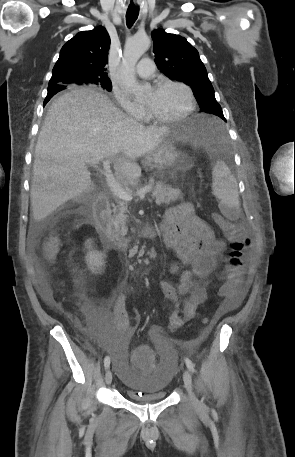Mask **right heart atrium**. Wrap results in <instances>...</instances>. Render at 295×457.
Here are the masks:
<instances>
[{"mask_svg": "<svg viewBox=\"0 0 295 457\" xmlns=\"http://www.w3.org/2000/svg\"><path fill=\"white\" fill-rule=\"evenodd\" d=\"M113 96L116 103L131 117L141 120L144 118L145 110L130 99L128 94L121 88H113Z\"/></svg>", "mask_w": 295, "mask_h": 457, "instance_id": "right-heart-atrium-1", "label": "right heart atrium"}]
</instances>
